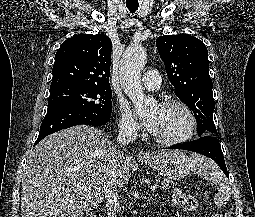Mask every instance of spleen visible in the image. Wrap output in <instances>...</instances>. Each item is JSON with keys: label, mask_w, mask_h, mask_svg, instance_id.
<instances>
[{"label": "spleen", "mask_w": 255, "mask_h": 217, "mask_svg": "<svg viewBox=\"0 0 255 217\" xmlns=\"http://www.w3.org/2000/svg\"><path fill=\"white\" fill-rule=\"evenodd\" d=\"M190 162L196 174L214 180L219 184L220 188L217 196L218 204L224 205L228 202L232 192L231 186L224 178L219 167L212 160L197 154H192L190 156Z\"/></svg>", "instance_id": "obj_1"}]
</instances>
